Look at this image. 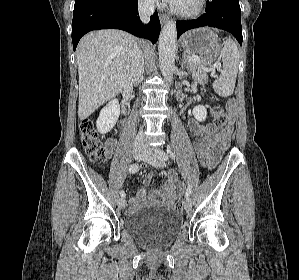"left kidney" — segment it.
<instances>
[{
	"instance_id": "1",
	"label": "left kidney",
	"mask_w": 299,
	"mask_h": 280,
	"mask_svg": "<svg viewBox=\"0 0 299 280\" xmlns=\"http://www.w3.org/2000/svg\"><path fill=\"white\" fill-rule=\"evenodd\" d=\"M192 114L196 120L203 122L207 117V109L204 106L199 105L193 109Z\"/></svg>"
}]
</instances>
